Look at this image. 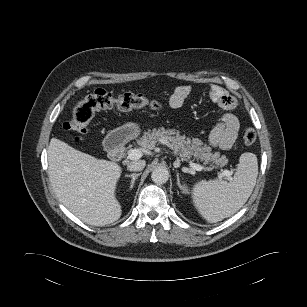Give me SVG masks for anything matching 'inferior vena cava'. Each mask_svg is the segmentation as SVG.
<instances>
[{
  "instance_id": "inferior-vena-cava-1",
  "label": "inferior vena cava",
  "mask_w": 307,
  "mask_h": 307,
  "mask_svg": "<svg viewBox=\"0 0 307 307\" xmlns=\"http://www.w3.org/2000/svg\"><path fill=\"white\" fill-rule=\"evenodd\" d=\"M146 165L145 160H136L128 163L127 169L130 171H141Z\"/></svg>"
}]
</instances>
